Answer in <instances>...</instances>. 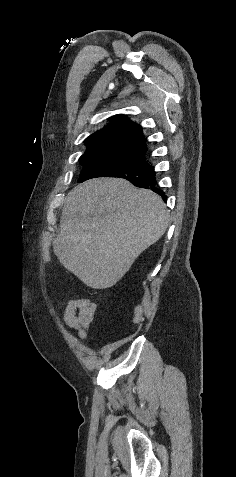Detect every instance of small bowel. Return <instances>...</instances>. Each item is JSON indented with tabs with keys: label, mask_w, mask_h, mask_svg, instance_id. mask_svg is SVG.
Listing matches in <instances>:
<instances>
[{
	"label": "small bowel",
	"mask_w": 236,
	"mask_h": 477,
	"mask_svg": "<svg viewBox=\"0 0 236 477\" xmlns=\"http://www.w3.org/2000/svg\"><path fill=\"white\" fill-rule=\"evenodd\" d=\"M96 305L90 299H70L64 310L66 325L77 331L78 337H86L87 329L94 317Z\"/></svg>",
	"instance_id": "c3829d8e"
}]
</instances>
